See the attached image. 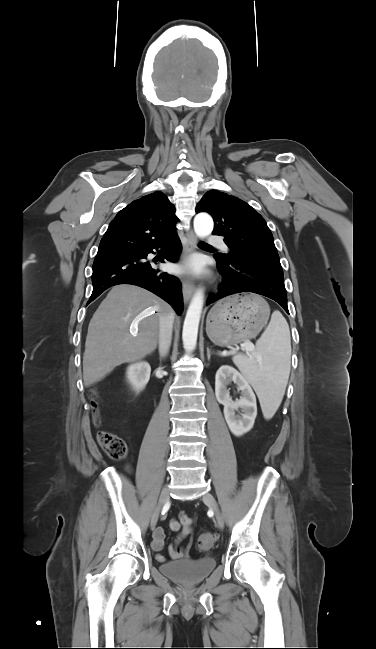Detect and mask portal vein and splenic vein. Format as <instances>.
Wrapping results in <instances>:
<instances>
[{
	"label": "portal vein and splenic vein",
	"mask_w": 376,
	"mask_h": 649,
	"mask_svg": "<svg viewBox=\"0 0 376 649\" xmlns=\"http://www.w3.org/2000/svg\"><path fill=\"white\" fill-rule=\"evenodd\" d=\"M244 348H245L247 351H250V350H251V345H250V344H245V345H244ZM234 352H235V350H233L231 353H234Z\"/></svg>",
	"instance_id": "portal-vein-and-splenic-vein-1"
}]
</instances>
